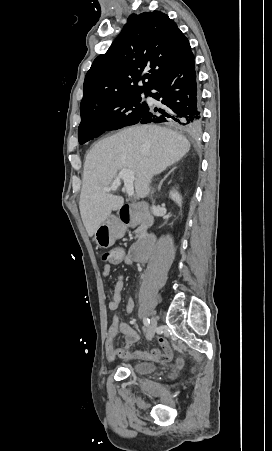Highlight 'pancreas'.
Wrapping results in <instances>:
<instances>
[{
  "label": "pancreas",
  "mask_w": 272,
  "mask_h": 451,
  "mask_svg": "<svg viewBox=\"0 0 272 451\" xmlns=\"http://www.w3.org/2000/svg\"><path fill=\"white\" fill-rule=\"evenodd\" d=\"M118 227H119V231H121V233H123V235H124V233H125L124 227L125 226H123V224H120V226H118ZM134 231H135V237H139V239H140V237H142L143 227H137V229H134Z\"/></svg>",
  "instance_id": "1"
}]
</instances>
